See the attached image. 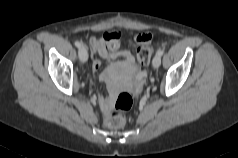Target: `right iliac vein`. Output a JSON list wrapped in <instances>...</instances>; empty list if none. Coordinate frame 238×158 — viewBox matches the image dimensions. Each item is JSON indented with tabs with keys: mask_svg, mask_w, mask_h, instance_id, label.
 <instances>
[{
	"mask_svg": "<svg viewBox=\"0 0 238 158\" xmlns=\"http://www.w3.org/2000/svg\"><path fill=\"white\" fill-rule=\"evenodd\" d=\"M78 56L81 62L85 63L88 59V52L85 47H80L78 50Z\"/></svg>",
	"mask_w": 238,
	"mask_h": 158,
	"instance_id": "1",
	"label": "right iliac vein"
}]
</instances>
